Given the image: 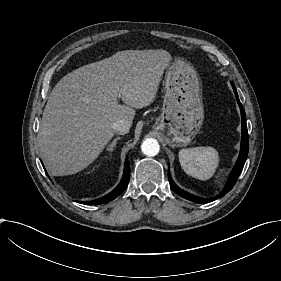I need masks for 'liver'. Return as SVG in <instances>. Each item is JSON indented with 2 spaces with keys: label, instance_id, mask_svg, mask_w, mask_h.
Masks as SVG:
<instances>
[{
  "label": "liver",
  "instance_id": "obj_1",
  "mask_svg": "<svg viewBox=\"0 0 281 281\" xmlns=\"http://www.w3.org/2000/svg\"><path fill=\"white\" fill-rule=\"evenodd\" d=\"M171 59L163 49L125 50L64 76L41 124L39 147L50 173L71 175L94 162L115 134L113 123L132 124L134 108L153 103Z\"/></svg>",
  "mask_w": 281,
  "mask_h": 281
}]
</instances>
